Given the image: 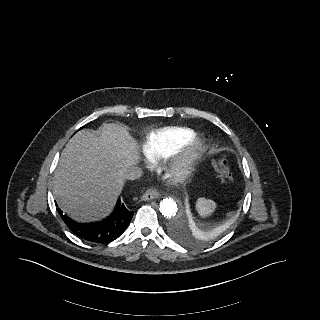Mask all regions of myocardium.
Masks as SVG:
<instances>
[{"label":"myocardium","mask_w":320,"mask_h":320,"mask_svg":"<svg viewBox=\"0 0 320 320\" xmlns=\"http://www.w3.org/2000/svg\"><path fill=\"white\" fill-rule=\"evenodd\" d=\"M204 152V144L199 138H192L174 158L169 174L178 180L186 179Z\"/></svg>","instance_id":"obj_1"}]
</instances>
